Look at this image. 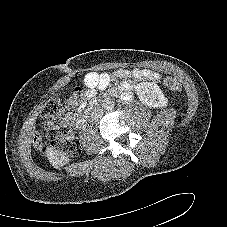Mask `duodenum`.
Segmentation results:
<instances>
[{
    "label": "duodenum",
    "instance_id": "1",
    "mask_svg": "<svg viewBox=\"0 0 227 227\" xmlns=\"http://www.w3.org/2000/svg\"><path fill=\"white\" fill-rule=\"evenodd\" d=\"M87 116H88V114L84 115L83 118L81 119L82 124L85 122Z\"/></svg>",
    "mask_w": 227,
    "mask_h": 227
}]
</instances>
